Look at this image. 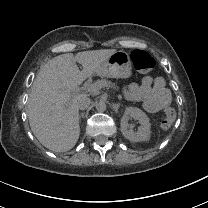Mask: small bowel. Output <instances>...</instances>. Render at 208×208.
I'll return each mask as SVG.
<instances>
[{
    "label": "small bowel",
    "instance_id": "small-bowel-1",
    "mask_svg": "<svg viewBox=\"0 0 208 208\" xmlns=\"http://www.w3.org/2000/svg\"><path fill=\"white\" fill-rule=\"evenodd\" d=\"M126 97L135 102H142L145 111L156 113L170 104V93L162 77H143L141 84H130L125 90Z\"/></svg>",
    "mask_w": 208,
    "mask_h": 208
}]
</instances>
